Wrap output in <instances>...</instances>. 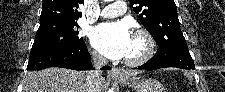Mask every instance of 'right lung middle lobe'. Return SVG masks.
<instances>
[{"mask_svg":"<svg viewBox=\"0 0 225 92\" xmlns=\"http://www.w3.org/2000/svg\"><path fill=\"white\" fill-rule=\"evenodd\" d=\"M77 22H48L40 24L31 52L83 43L78 36Z\"/></svg>","mask_w":225,"mask_h":92,"instance_id":"1","label":"right lung middle lobe"}]
</instances>
